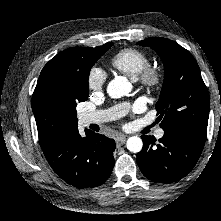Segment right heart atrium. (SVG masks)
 Masks as SVG:
<instances>
[{
	"instance_id": "d8ad5b80",
	"label": "right heart atrium",
	"mask_w": 221,
	"mask_h": 221,
	"mask_svg": "<svg viewBox=\"0 0 221 221\" xmlns=\"http://www.w3.org/2000/svg\"><path fill=\"white\" fill-rule=\"evenodd\" d=\"M107 81V74L104 70L98 67H93L87 74V85L90 90H101Z\"/></svg>"
}]
</instances>
